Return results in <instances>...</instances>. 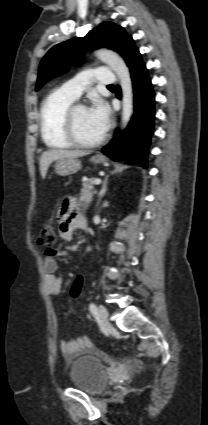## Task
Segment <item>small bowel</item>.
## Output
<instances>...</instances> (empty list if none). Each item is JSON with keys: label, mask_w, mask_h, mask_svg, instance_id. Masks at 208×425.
<instances>
[{"label": "small bowel", "mask_w": 208, "mask_h": 425, "mask_svg": "<svg viewBox=\"0 0 208 425\" xmlns=\"http://www.w3.org/2000/svg\"><path fill=\"white\" fill-rule=\"evenodd\" d=\"M59 233L62 239L71 240L73 233L77 229L85 227L86 219L79 211L76 201L69 197L66 198L58 212ZM90 249L87 248L88 252ZM62 252L49 250L46 252L43 261L45 271V287L49 295H58L61 293L63 286V278L55 274L57 270V262L54 256L61 255ZM91 346V342L87 336H81L72 341H61L60 349L65 356L73 357L81 350Z\"/></svg>", "instance_id": "c3829d8e"}]
</instances>
